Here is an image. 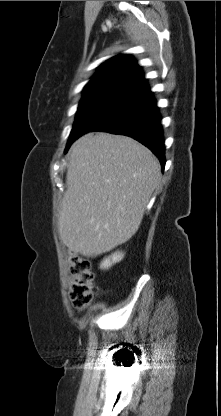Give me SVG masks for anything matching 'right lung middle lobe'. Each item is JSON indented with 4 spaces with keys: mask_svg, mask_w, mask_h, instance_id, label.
Listing matches in <instances>:
<instances>
[{
    "mask_svg": "<svg viewBox=\"0 0 221 416\" xmlns=\"http://www.w3.org/2000/svg\"><path fill=\"white\" fill-rule=\"evenodd\" d=\"M125 98L121 95L111 94L83 97L78 107L66 150L78 137L96 128Z\"/></svg>",
    "mask_w": 221,
    "mask_h": 416,
    "instance_id": "right-lung-middle-lobe-1",
    "label": "right lung middle lobe"
}]
</instances>
